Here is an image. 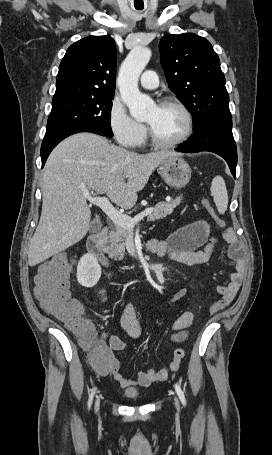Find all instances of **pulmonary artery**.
Here are the masks:
<instances>
[{
    "label": "pulmonary artery",
    "instance_id": "1",
    "mask_svg": "<svg viewBox=\"0 0 272 455\" xmlns=\"http://www.w3.org/2000/svg\"><path fill=\"white\" fill-rule=\"evenodd\" d=\"M140 85L144 89H155L158 86L157 74L153 70H146L140 78Z\"/></svg>",
    "mask_w": 272,
    "mask_h": 455
}]
</instances>
